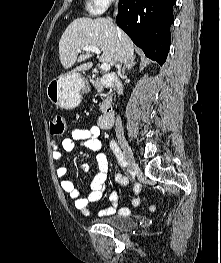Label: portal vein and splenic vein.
Segmentation results:
<instances>
[{
  "instance_id": "18ae733b",
  "label": "portal vein and splenic vein",
  "mask_w": 221,
  "mask_h": 263,
  "mask_svg": "<svg viewBox=\"0 0 221 263\" xmlns=\"http://www.w3.org/2000/svg\"><path fill=\"white\" fill-rule=\"evenodd\" d=\"M81 51L93 52V53H96L97 55L101 53L100 49L95 46H84L80 50H78L79 53H81ZM101 68L103 71H109L111 66L109 63H103L101 65Z\"/></svg>"
}]
</instances>
